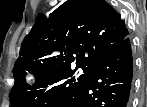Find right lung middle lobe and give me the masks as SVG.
<instances>
[{"label":"right lung middle lobe","instance_id":"right-lung-middle-lobe-1","mask_svg":"<svg viewBox=\"0 0 147 107\" xmlns=\"http://www.w3.org/2000/svg\"><path fill=\"white\" fill-rule=\"evenodd\" d=\"M29 68V67H27ZM81 68L78 73L77 69ZM95 67L76 65L55 70L22 69L14 73L15 84L10 93L11 107H56L67 96L80 88L93 73ZM26 71L35 75L36 83L25 82ZM48 88V89H46Z\"/></svg>","mask_w":147,"mask_h":107}]
</instances>
